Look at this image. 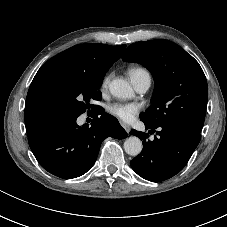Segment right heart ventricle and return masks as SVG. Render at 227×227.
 <instances>
[{
  "label": "right heart ventricle",
  "instance_id": "obj_1",
  "mask_svg": "<svg viewBox=\"0 0 227 227\" xmlns=\"http://www.w3.org/2000/svg\"><path fill=\"white\" fill-rule=\"evenodd\" d=\"M129 75H130L131 79L134 80L143 75H149V72L145 68H142V67H132L129 70Z\"/></svg>",
  "mask_w": 227,
  "mask_h": 227
}]
</instances>
